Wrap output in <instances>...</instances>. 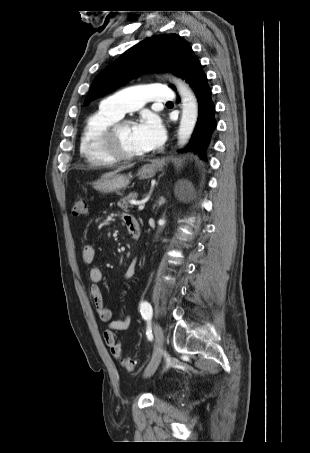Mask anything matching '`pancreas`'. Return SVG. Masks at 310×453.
Segmentation results:
<instances>
[{
	"label": "pancreas",
	"instance_id": "1",
	"mask_svg": "<svg viewBox=\"0 0 310 453\" xmlns=\"http://www.w3.org/2000/svg\"><path fill=\"white\" fill-rule=\"evenodd\" d=\"M138 197V194L136 192H133V193H130L129 195L123 197L122 199H120V201L118 202V206L122 209V210H128V208L132 207V205L130 204V201L131 200H134V199H137Z\"/></svg>",
	"mask_w": 310,
	"mask_h": 453
}]
</instances>
